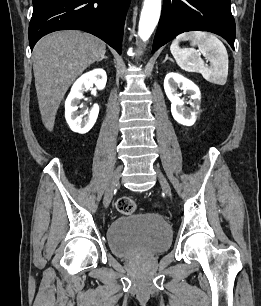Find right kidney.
Here are the masks:
<instances>
[{"label": "right kidney", "mask_w": 261, "mask_h": 306, "mask_svg": "<svg viewBox=\"0 0 261 306\" xmlns=\"http://www.w3.org/2000/svg\"><path fill=\"white\" fill-rule=\"evenodd\" d=\"M107 75L103 69H94L83 74L73 84L71 91L65 101V118L72 131L85 134L94 126L98 113L99 106L95 104L88 116L82 118L78 116V104L83 98V92L95 85L99 90H103L106 86Z\"/></svg>", "instance_id": "ca27d5eb"}]
</instances>
